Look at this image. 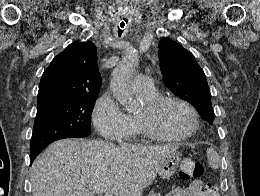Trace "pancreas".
<instances>
[{"label":"pancreas","instance_id":"obj_1","mask_svg":"<svg viewBox=\"0 0 260 196\" xmlns=\"http://www.w3.org/2000/svg\"><path fill=\"white\" fill-rule=\"evenodd\" d=\"M149 196H161V194H153V192H151V194H149Z\"/></svg>","mask_w":260,"mask_h":196}]
</instances>
